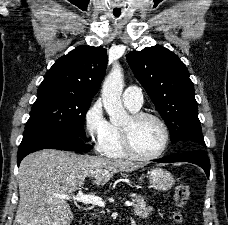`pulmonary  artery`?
<instances>
[{"label":"pulmonary artery","instance_id":"pulmonary-artery-1","mask_svg":"<svg viewBox=\"0 0 228 225\" xmlns=\"http://www.w3.org/2000/svg\"><path fill=\"white\" fill-rule=\"evenodd\" d=\"M123 102L125 106L139 110L144 102L141 89H136L135 85H132L131 89H126L123 92Z\"/></svg>","mask_w":228,"mask_h":225}]
</instances>
